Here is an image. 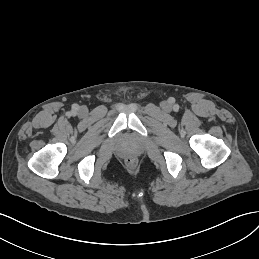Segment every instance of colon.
Masks as SVG:
<instances>
[{
    "label": "colon",
    "mask_w": 259,
    "mask_h": 259,
    "mask_svg": "<svg viewBox=\"0 0 259 259\" xmlns=\"http://www.w3.org/2000/svg\"><path fill=\"white\" fill-rule=\"evenodd\" d=\"M126 162L129 166H134L137 161L134 157H129V158H127Z\"/></svg>",
    "instance_id": "colon-1"
}]
</instances>
